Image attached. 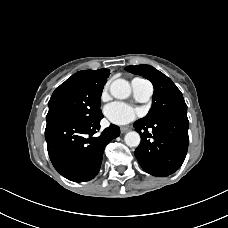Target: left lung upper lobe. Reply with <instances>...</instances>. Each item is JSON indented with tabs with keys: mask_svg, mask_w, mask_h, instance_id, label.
I'll return each instance as SVG.
<instances>
[{
	"mask_svg": "<svg viewBox=\"0 0 228 228\" xmlns=\"http://www.w3.org/2000/svg\"><path fill=\"white\" fill-rule=\"evenodd\" d=\"M128 72L141 75L152 82L154 94L152 107L141 122L151 123L180 109H187L182 93L172 80L150 65L127 66Z\"/></svg>",
	"mask_w": 228,
	"mask_h": 228,
	"instance_id": "5c2ea615",
	"label": "left lung upper lobe"
}]
</instances>
